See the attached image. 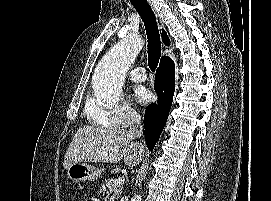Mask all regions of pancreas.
<instances>
[{
    "mask_svg": "<svg viewBox=\"0 0 271 201\" xmlns=\"http://www.w3.org/2000/svg\"><path fill=\"white\" fill-rule=\"evenodd\" d=\"M114 179H106L101 184L99 193L104 197V201H117L122 193L121 186H113Z\"/></svg>",
    "mask_w": 271,
    "mask_h": 201,
    "instance_id": "cf45deb5",
    "label": "pancreas"
}]
</instances>
